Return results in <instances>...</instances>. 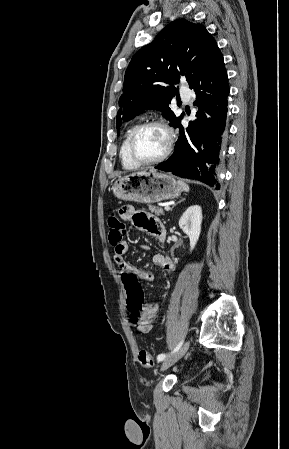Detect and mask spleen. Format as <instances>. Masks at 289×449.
Masks as SVG:
<instances>
[{
  "mask_svg": "<svg viewBox=\"0 0 289 449\" xmlns=\"http://www.w3.org/2000/svg\"><path fill=\"white\" fill-rule=\"evenodd\" d=\"M178 183L180 184V186L183 188L184 191L189 192L190 188L185 182L179 180Z\"/></svg>",
  "mask_w": 289,
  "mask_h": 449,
  "instance_id": "1",
  "label": "spleen"
}]
</instances>
